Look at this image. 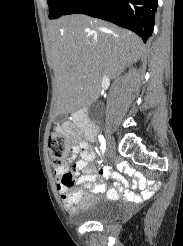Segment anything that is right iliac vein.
I'll return each instance as SVG.
<instances>
[{"mask_svg": "<svg viewBox=\"0 0 183 246\" xmlns=\"http://www.w3.org/2000/svg\"><path fill=\"white\" fill-rule=\"evenodd\" d=\"M107 141V153L109 154L110 150L113 148V141L109 133H106Z\"/></svg>", "mask_w": 183, "mask_h": 246, "instance_id": "obj_1", "label": "right iliac vein"}]
</instances>
